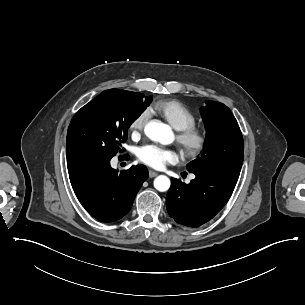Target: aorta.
<instances>
[{
    "label": "aorta",
    "instance_id": "obj_1",
    "mask_svg": "<svg viewBox=\"0 0 305 305\" xmlns=\"http://www.w3.org/2000/svg\"><path fill=\"white\" fill-rule=\"evenodd\" d=\"M144 132L149 139L163 144L167 143L172 136L170 127L157 120L148 122ZM170 185V179L165 175H159L154 179V187L160 192L167 191Z\"/></svg>",
    "mask_w": 305,
    "mask_h": 305
}]
</instances>
